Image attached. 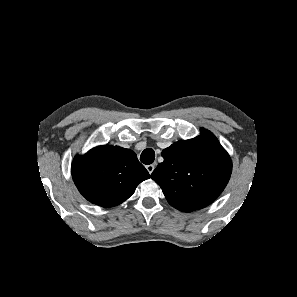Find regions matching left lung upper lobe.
<instances>
[{"mask_svg":"<svg viewBox=\"0 0 297 297\" xmlns=\"http://www.w3.org/2000/svg\"><path fill=\"white\" fill-rule=\"evenodd\" d=\"M201 134L164 149V161L151 174L171 206L183 212L211 204L232 172L230 156L217 138L206 129H201Z\"/></svg>","mask_w":297,"mask_h":297,"instance_id":"1","label":"left lung upper lobe"}]
</instances>
